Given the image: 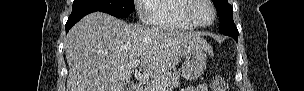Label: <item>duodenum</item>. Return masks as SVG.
Masks as SVG:
<instances>
[{
	"label": "duodenum",
	"mask_w": 304,
	"mask_h": 91,
	"mask_svg": "<svg viewBox=\"0 0 304 91\" xmlns=\"http://www.w3.org/2000/svg\"><path fill=\"white\" fill-rule=\"evenodd\" d=\"M132 91H144L143 87L140 84H136Z\"/></svg>",
	"instance_id": "1"
}]
</instances>
